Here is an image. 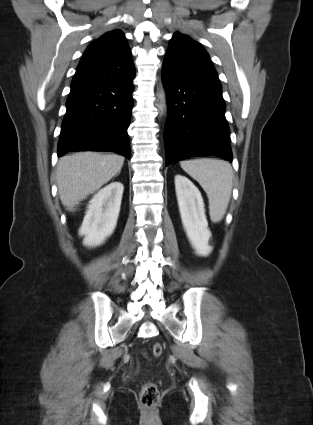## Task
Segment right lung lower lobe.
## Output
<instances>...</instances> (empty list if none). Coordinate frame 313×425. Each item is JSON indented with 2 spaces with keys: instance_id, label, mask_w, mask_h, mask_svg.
Returning a JSON list of instances; mask_svg holds the SVG:
<instances>
[{
  "instance_id": "1",
  "label": "right lung lower lobe",
  "mask_w": 313,
  "mask_h": 425,
  "mask_svg": "<svg viewBox=\"0 0 313 425\" xmlns=\"http://www.w3.org/2000/svg\"><path fill=\"white\" fill-rule=\"evenodd\" d=\"M134 77L133 63L78 65L66 102L58 157L76 151H108L130 157L127 128Z\"/></svg>"
}]
</instances>
